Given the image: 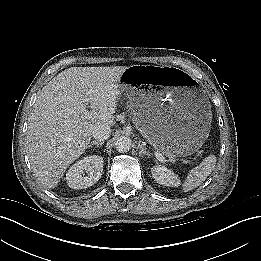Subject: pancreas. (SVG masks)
<instances>
[{"label": "pancreas", "instance_id": "obj_1", "mask_svg": "<svg viewBox=\"0 0 261 261\" xmlns=\"http://www.w3.org/2000/svg\"><path fill=\"white\" fill-rule=\"evenodd\" d=\"M133 115H134L133 119H134V121H135V120H136L135 114H133ZM156 149H157L160 153L164 154L163 148H156ZM164 155H166V154H164ZM166 156H167V155H166ZM168 157H169V160H170V161H173L175 156L169 155Z\"/></svg>", "mask_w": 261, "mask_h": 261}]
</instances>
